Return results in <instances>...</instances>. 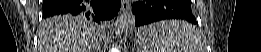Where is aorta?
<instances>
[{"mask_svg":"<svg viewBox=\"0 0 261 52\" xmlns=\"http://www.w3.org/2000/svg\"><path fill=\"white\" fill-rule=\"evenodd\" d=\"M135 25V16L132 12L122 13L116 20L115 32L116 34H122L129 31Z\"/></svg>","mask_w":261,"mask_h":52,"instance_id":"1","label":"aorta"}]
</instances>
